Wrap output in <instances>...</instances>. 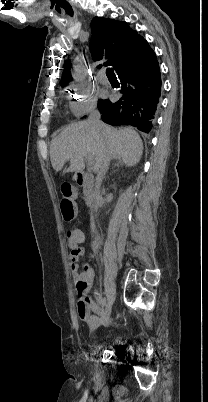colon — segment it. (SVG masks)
<instances>
[{"mask_svg": "<svg viewBox=\"0 0 208 402\" xmlns=\"http://www.w3.org/2000/svg\"><path fill=\"white\" fill-rule=\"evenodd\" d=\"M74 191H75V186H74V184H71V183H63L60 187V194L62 197L68 198L73 194ZM63 212H64L63 220L65 222H74L76 220L75 205H64ZM66 239H67L68 245L72 248L70 250L71 254L69 256L71 259V262L77 263L78 262L77 255H82L84 253L83 247L79 246L80 245L79 241L81 240V237L77 231L71 229L66 232ZM83 296L84 297H79V299H78L80 317H82V318L87 317V315L90 312L89 306H92V304H93V299H92V297H89L87 288L84 289Z\"/></svg>", "mask_w": 208, "mask_h": 402, "instance_id": "1", "label": "colon"}]
</instances>
